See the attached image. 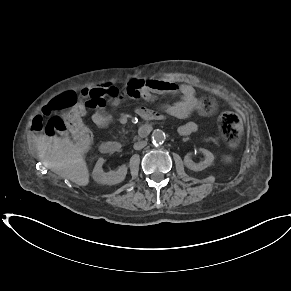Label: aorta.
I'll list each match as a JSON object with an SVG mask.
<instances>
[{
  "label": "aorta",
  "mask_w": 291,
  "mask_h": 291,
  "mask_svg": "<svg viewBox=\"0 0 291 291\" xmlns=\"http://www.w3.org/2000/svg\"><path fill=\"white\" fill-rule=\"evenodd\" d=\"M152 140L155 145H161L165 141V133L159 129H156L152 133Z\"/></svg>",
  "instance_id": "1"
}]
</instances>
